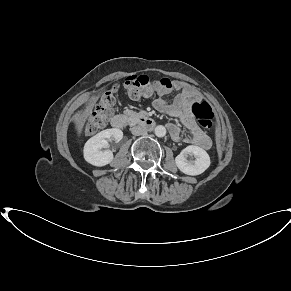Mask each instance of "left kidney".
Wrapping results in <instances>:
<instances>
[{"label":"left kidney","instance_id":"obj_1","mask_svg":"<svg viewBox=\"0 0 291 291\" xmlns=\"http://www.w3.org/2000/svg\"><path fill=\"white\" fill-rule=\"evenodd\" d=\"M186 155H193L195 160L188 161ZM175 163L184 174L195 176L203 173L210 166V157L204 149L189 145L176 156Z\"/></svg>","mask_w":291,"mask_h":291}]
</instances>
